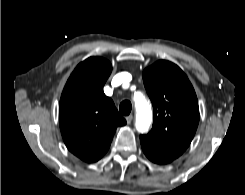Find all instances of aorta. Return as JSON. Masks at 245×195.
<instances>
[{"label":"aorta","instance_id":"aorta-1","mask_svg":"<svg viewBox=\"0 0 245 195\" xmlns=\"http://www.w3.org/2000/svg\"><path fill=\"white\" fill-rule=\"evenodd\" d=\"M134 101L136 108V129L140 133H145L149 130L152 123L151 105L143 95L135 97Z\"/></svg>","mask_w":245,"mask_h":195}]
</instances>
